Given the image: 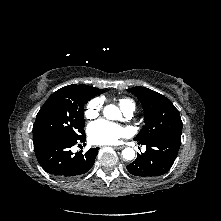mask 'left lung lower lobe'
Masks as SVG:
<instances>
[{
  "label": "left lung lower lobe",
  "instance_id": "obj_1",
  "mask_svg": "<svg viewBox=\"0 0 221 221\" xmlns=\"http://www.w3.org/2000/svg\"><path fill=\"white\" fill-rule=\"evenodd\" d=\"M139 145H146V151L138 154L127 170L140 177H157L165 174L173 165L181 144V137L176 135H160Z\"/></svg>",
  "mask_w": 221,
  "mask_h": 221
}]
</instances>
